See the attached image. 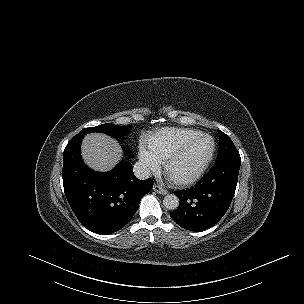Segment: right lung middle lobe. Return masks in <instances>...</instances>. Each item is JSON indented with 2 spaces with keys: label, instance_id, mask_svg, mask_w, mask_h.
Instances as JSON below:
<instances>
[{
  "label": "right lung middle lobe",
  "instance_id": "dd1d6c3e",
  "mask_svg": "<svg viewBox=\"0 0 304 304\" xmlns=\"http://www.w3.org/2000/svg\"><path fill=\"white\" fill-rule=\"evenodd\" d=\"M131 129H132L131 126H118L107 123L96 127L84 128L77 135L84 136L87 133L100 132V133H105L107 135H112L117 138H123L131 131ZM125 154L127 156H132V153L129 152L128 150L125 151Z\"/></svg>",
  "mask_w": 304,
  "mask_h": 304
}]
</instances>
